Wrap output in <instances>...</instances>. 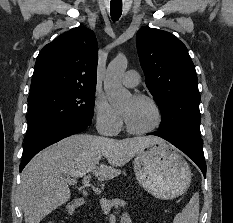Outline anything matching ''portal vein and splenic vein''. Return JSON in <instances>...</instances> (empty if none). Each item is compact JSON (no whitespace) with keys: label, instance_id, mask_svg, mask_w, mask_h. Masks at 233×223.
<instances>
[{"label":"portal vein and splenic vein","instance_id":"portal-vein-and-splenic-vein-1","mask_svg":"<svg viewBox=\"0 0 233 223\" xmlns=\"http://www.w3.org/2000/svg\"><path fill=\"white\" fill-rule=\"evenodd\" d=\"M91 175H85L82 179V185H91L90 183ZM67 183L70 185H75L78 183V179L76 177H66ZM101 205H116V206H125V201L111 202V199H106V197H100Z\"/></svg>","mask_w":233,"mask_h":223}]
</instances>
